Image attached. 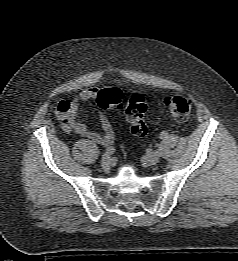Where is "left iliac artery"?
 <instances>
[{
    "mask_svg": "<svg viewBox=\"0 0 238 261\" xmlns=\"http://www.w3.org/2000/svg\"><path fill=\"white\" fill-rule=\"evenodd\" d=\"M168 137V133L166 131L161 132L160 139H165Z\"/></svg>",
    "mask_w": 238,
    "mask_h": 261,
    "instance_id": "left-iliac-artery-1",
    "label": "left iliac artery"
}]
</instances>
